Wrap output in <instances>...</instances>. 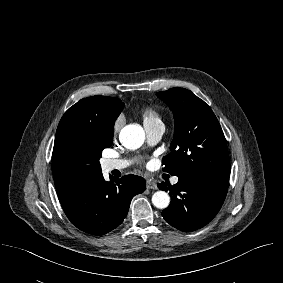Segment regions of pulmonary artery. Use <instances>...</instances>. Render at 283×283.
Segmentation results:
<instances>
[{"label":"pulmonary artery","mask_w":283,"mask_h":283,"mask_svg":"<svg viewBox=\"0 0 283 283\" xmlns=\"http://www.w3.org/2000/svg\"><path fill=\"white\" fill-rule=\"evenodd\" d=\"M147 142L150 145L158 143L164 133V125L162 123L145 124L144 125ZM129 165V161L125 159H107L103 162L102 167L106 172L113 170H123ZM178 182L177 177L172 178V183Z\"/></svg>","instance_id":"pulmonary-artery-1"}]
</instances>
